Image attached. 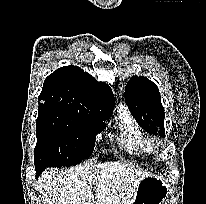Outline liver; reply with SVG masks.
<instances>
[{
    "label": "liver",
    "instance_id": "liver-1",
    "mask_svg": "<svg viewBox=\"0 0 206 204\" xmlns=\"http://www.w3.org/2000/svg\"><path fill=\"white\" fill-rule=\"evenodd\" d=\"M149 175L131 164L89 163L65 171H45L37 189L43 195V204H130L140 181Z\"/></svg>",
    "mask_w": 206,
    "mask_h": 204
}]
</instances>
